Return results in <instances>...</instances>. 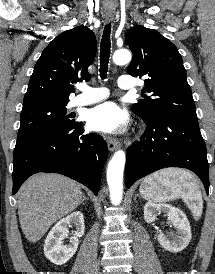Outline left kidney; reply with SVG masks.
<instances>
[{
	"instance_id": "5707ae66",
	"label": "left kidney",
	"mask_w": 215,
	"mask_h": 274,
	"mask_svg": "<svg viewBox=\"0 0 215 274\" xmlns=\"http://www.w3.org/2000/svg\"><path fill=\"white\" fill-rule=\"evenodd\" d=\"M161 212L168 216L177 232L171 235L160 232L158 235L159 244L170 252L182 251L188 246L192 237L190 223L186 215L183 211L171 205L149 202L144 206V219L147 223H152Z\"/></svg>"
}]
</instances>
